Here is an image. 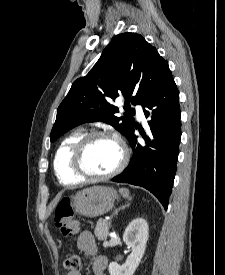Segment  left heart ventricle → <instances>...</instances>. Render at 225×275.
Wrapping results in <instances>:
<instances>
[{"instance_id": "b2bd125f", "label": "left heart ventricle", "mask_w": 225, "mask_h": 275, "mask_svg": "<svg viewBox=\"0 0 225 275\" xmlns=\"http://www.w3.org/2000/svg\"><path fill=\"white\" fill-rule=\"evenodd\" d=\"M120 156V147L116 141L99 138L95 139L87 148L83 157V165L89 173L103 175L117 166Z\"/></svg>"}]
</instances>
